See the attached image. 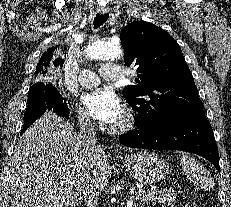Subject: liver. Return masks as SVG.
Segmentation results:
<instances>
[{"instance_id":"obj_1","label":"liver","mask_w":231,"mask_h":207,"mask_svg":"<svg viewBox=\"0 0 231 207\" xmlns=\"http://www.w3.org/2000/svg\"><path fill=\"white\" fill-rule=\"evenodd\" d=\"M11 207H74L83 200L82 179L90 174L101 193L111 177L103 148L89 157L64 118L46 112L18 140L10 160Z\"/></svg>"}]
</instances>
